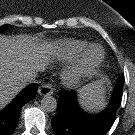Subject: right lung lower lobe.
I'll return each instance as SVG.
<instances>
[{
	"label": "right lung lower lobe",
	"mask_w": 135,
	"mask_h": 135,
	"mask_svg": "<svg viewBox=\"0 0 135 135\" xmlns=\"http://www.w3.org/2000/svg\"><path fill=\"white\" fill-rule=\"evenodd\" d=\"M37 88V84L29 85L6 108L0 111V135H12L18 123L22 106L36 96Z\"/></svg>",
	"instance_id": "98d812e1"
}]
</instances>
